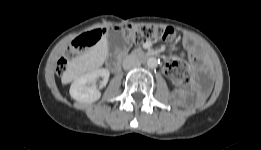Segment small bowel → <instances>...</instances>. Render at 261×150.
Listing matches in <instances>:
<instances>
[{
  "instance_id": "c3829d8e",
  "label": "small bowel",
  "mask_w": 261,
  "mask_h": 150,
  "mask_svg": "<svg viewBox=\"0 0 261 150\" xmlns=\"http://www.w3.org/2000/svg\"><path fill=\"white\" fill-rule=\"evenodd\" d=\"M150 44L149 43H146V46L148 47ZM184 45L186 46V48L188 49V50H190V59L191 60H194V54L192 53V51H191V44H190V40L187 38V37H185L184 38ZM166 70V68L164 67V71Z\"/></svg>"
}]
</instances>
